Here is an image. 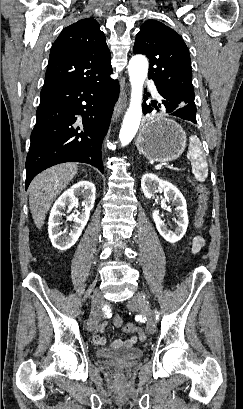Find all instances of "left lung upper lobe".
I'll return each instance as SVG.
<instances>
[{"mask_svg":"<svg viewBox=\"0 0 243 409\" xmlns=\"http://www.w3.org/2000/svg\"><path fill=\"white\" fill-rule=\"evenodd\" d=\"M133 50L149 58L148 78L153 79L157 87L194 101L189 50L173 29L159 21L147 20L136 35Z\"/></svg>","mask_w":243,"mask_h":409,"instance_id":"left-lung-upper-lobe-1","label":"left lung upper lobe"}]
</instances>
